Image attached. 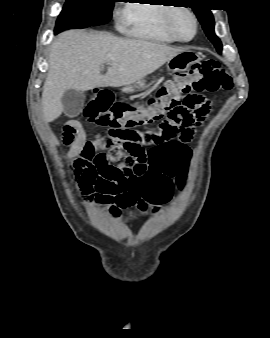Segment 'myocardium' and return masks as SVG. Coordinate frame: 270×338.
<instances>
[{
	"mask_svg": "<svg viewBox=\"0 0 270 338\" xmlns=\"http://www.w3.org/2000/svg\"><path fill=\"white\" fill-rule=\"evenodd\" d=\"M179 14H187L188 16L191 17L192 21H193V34L189 37V38H182L178 35L176 28H175V21H176V17ZM166 28L167 31L170 33V35L176 40V41H180V42H189L191 40L194 39V37L197 34V29H198V19L196 17V15L194 14V12H192L190 9L185 8V7H181L176 6L173 10H171L168 15H167V19H166Z\"/></svg>",
	"mask_w": 270,
	"mask_h": 338,
	"instance_id": "myocardium-1",
	"label": "myocardium"
}]
</instances>
